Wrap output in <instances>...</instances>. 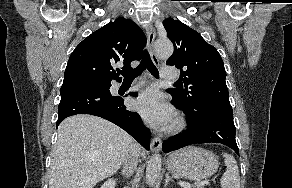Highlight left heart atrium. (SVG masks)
Listing matches in <instances>:
<instances>
[{
	"label": "left heart atrium",
	"instance_id": "left-heart-atrium-1",
	"mask_svg": "<svg viewBox=\"0 0 292 188\" xmlns=\"http://www.w3.org/2000/svg\"><path fill=\"white\" fill-rule=\"evenodd\" d=\"M134 108L152 126H167L173 120V109L164 103L160 94L153 89L143 92L135 101Z\"/></svg>",
	"mask_w": 292,
	"mask_h": 188
}]
</instances>
